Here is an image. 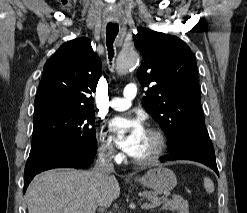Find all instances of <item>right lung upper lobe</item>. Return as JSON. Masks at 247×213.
Wrapping results in <instances>:
<instances>
[{
    "mask_svg": "<svg viewBox=\"0 0 247 213\" xmlns=\"http://www.w3.org/2000/svg\"><path fill=\"white\" fill-rule=\"evenodd\" d=\"M101 72L88 38L64 43L44 65L34 112L50 107L93 109L89 94L95 92Z\"/></svg>",
    "mask_w": 247,
    "mask_h": 213,
    "instance_id": "right-lung-upper-lobe-1",
    "label": "right lung upper lobe"
}]
</instances>
